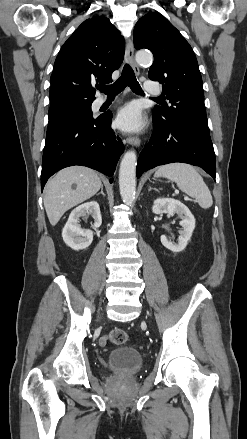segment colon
<instances>
[{
	"instance_id": "obj_1",
	"label": "colon",
	"mask_w": 247,
	"mask_h": 439,
	"mask_svg": "<svg viewBox=\"0 0 247 439\" xmlns=\"http://www.w3.org/2000/svg\"><path fill=\"white\" fill-rule=\"evenodd\" d=\"M108 339L112 344L122 345L128 341L129 337L124 330L114 329L110 332Z\"/></svg>"
}]
</instances>
